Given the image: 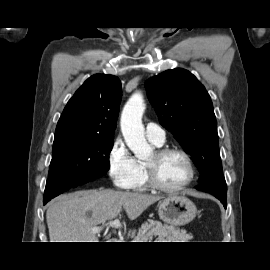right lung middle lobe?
Instances as JSON below:
<instances>
[{
	"mask_svg": "<svg viewBox=\"0 0 270 270\" xmlns=\"http://www.w3.org/2000/svg\"><path fill=\"white\" fill-rule=\"evenodd\" d=\"M114 137L64 133L55 135L46 196H57L71 187L101 177L109 170Z\"/></svg>",
	"mask_w": 270,
	"mask_h": 270,
	"instance_id": "obj_1",
	"label": "right lung middle lobe"
}]
</instances>
